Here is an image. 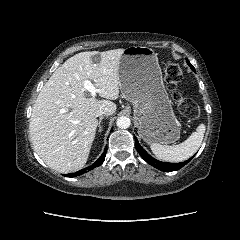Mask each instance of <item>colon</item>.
Instances as JSON below:
<instances>
[{"label": "colon", "instance_id": "colon-1", "mask_svg": "<svg viewBox=\"0 0 240 240\" xmlns=\"http://www.w3.org/2000/svg\"><path fill=\"white\" fill-rule=\"evenodd\" d=\"M181 79L182 69L180 64L174 61L167 62L165 66V80L168 89L172 92L177 108L183 116L196 120L201 116V110L193 100L182 96L177 90Z\"/></svg>", "mask_w": 240, "mask_h": 240}]
</instances>
